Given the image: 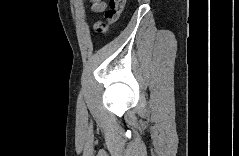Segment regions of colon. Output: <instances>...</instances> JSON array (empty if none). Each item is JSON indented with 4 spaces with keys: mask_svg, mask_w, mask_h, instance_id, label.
<instances>
[{
    "mask_svg": "<svg viewBox=\"0 0 239 156\" xmlns=\"http://www.w3.org/2000/svg\"><path fill=\"white\" fill-rule=\"evenodd\" d=\"M125 0H109L108 8L105 11V22H97L94 25L96 33H105L110 24L115 23L123 11Z\"/></svg>",
    "mask_w": 239,
    "mask_h": 156,
    "instance_id": "1",
    "label": "colon"
}]
</instances>
